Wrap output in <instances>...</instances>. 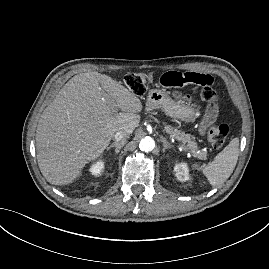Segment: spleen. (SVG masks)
Here are the masks:
<instances>
[{
	"instance_id": "3e777b00",
	"label": "spleen",
	"mask_w": 269,
	"mask_h": 269,
	"mask_svg": "<svg viewBox=\"0 0 269 269\" xmlns=\"http://www.w3.org/2000/svg\"><path fill=\"white\" fill-rule=\"evenodd\" d=\"M239 156V138H233L230 143L207 165L193 167L201 170L209 183L216 187L223 184L233 173Z\"/></svg>"
}]
</instances>
